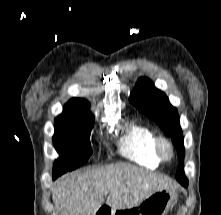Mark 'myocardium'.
Wrapping results in <instances>:
<instances>
[{"label": "myocardium", "instance_id": "1", "mask_svg": "<svg viewBox=\"0 0 221 215\" xmlns=\"http://www.w3.org/2000/svg\"><path fill=\"white\" fill-rule=\"evenodd\" d=\"M154 152L159 161L166 162L172 159L174 155L173 145L169 139L163 136L154 139Z\"/></svg>", "mask_w": 221, "mask_h": 215}]
</instances>
